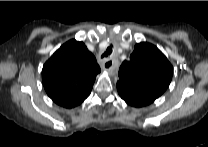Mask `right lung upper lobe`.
Returning a JSON list of instances; mask_svg holds the SVG:
<instances>
[{"instance_id": "1", "label": "right lung upper lobe", "mask_w": 208, "mask_h": 147, "mask_svg": "<svg viewBox=\"0 0 208 147\" xmlns=\"http://www.w3.org/2000/svg\"><path fill=\"white\" fill-rule=\"evenodd\" d=\"M99 72L94 55L83 42L72 39L44 64L42 82L48 96L56 104L72 108L89 96Z\"/></svg>"}]
</instances>
